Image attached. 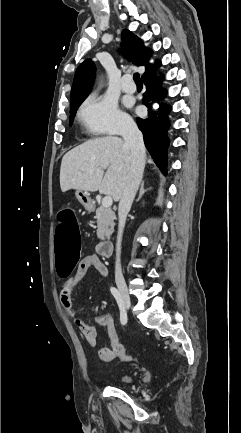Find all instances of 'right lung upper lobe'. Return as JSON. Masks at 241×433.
<instances>
[{"label":"right lung upper lobe","instance_id":"cb5924a9","mask_svg":"<svg viewBox=\"0 0 241 433\" xmlns=\"http://www.w3.org/2000/svg\"><path fill=\"white\" fill-rule=\"evenodd\" d=\"M122 46L127 58L137 66H144L145 73L142 79L148 74L154 72L161 65L159 60H156L152 66L147 61L152 53V50L146 48L140 38L134 35L128 29L122 31ZM95 76V65L87 59L80 64L75 73L71 97L70 108L74 107L78 102L84 100L90 93Z\"/></svg>","mask_w":241,"mask_h":433}]
</instances>
